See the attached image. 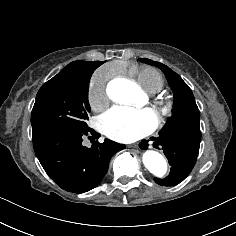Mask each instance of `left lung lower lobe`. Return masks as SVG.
<instances>
[{"label": "left lung lower lobe", "instance_id": "obj_1", "mask_svg": "<svg viewBox=\"0 0 236 236\" xmlns=\"http://www.w3.org/2000/svg\"><path fill=\"white\" fill-rule=\"evenodd\" d=\"M154 146L160 145L171 165L170 173L164 179L154 178L161 186H174L183 181L193 169L197 160L201 132L181 128H167L159 132V137L153 138ZM142 149L147 148V141L140 144Z\"/></svg>", "mask_w": 236, "mask_h": 236}]
</instances>
